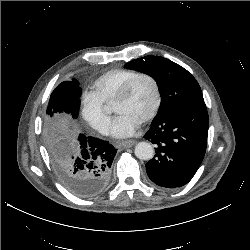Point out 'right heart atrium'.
Here are the masks:
<instances>
[{"label":"right heart atrium","mask_w":250,"mask_h":250,"mask_svg":"<svg viewBox=\"0 0 250 250\" xmlns=\"http://www.w3.org/2000/svg\"><path fill=\"white\" fill-rule=\"evenodd\" d=\"M81 117L86 124L100 134L108 132L110 117L104 106L90 94H86L82 99Z\"/></svg>","instance_id":"right-heart-atrium-1"}]
</instances>
